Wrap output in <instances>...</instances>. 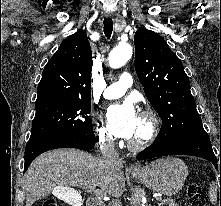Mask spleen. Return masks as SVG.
Listing matches in <instances>:
<instances>
[{"instance_id": "spleen-1", "label": "spleen", "mask_w": 221, "mask_h": 206, "mask_svg": "<svg viewBox=\"0 0 221 206\" xmlns=\"http://www.w3.org/2000/svg\"><path fill=\"white\" fill-rule=\"evenodd\" d=\"M210 200L212 201V203L217 202V191L216 190L210 191Z\"/></svg>"}]
</instances>
